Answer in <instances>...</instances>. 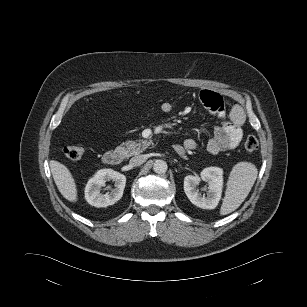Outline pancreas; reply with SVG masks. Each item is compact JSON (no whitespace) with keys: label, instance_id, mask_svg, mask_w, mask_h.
Listing matches in <instances>:
<instances>
[{"label":"pancreas","instance_id":"cf45deb5","mask_svg":"<svg viewBox=\"0 0 307 307\" xmlns=\"http://www.w3.org/2000/svg\"><path fill=\"white\" fill-rule=\"evenodd\" d=\"M151 141L147 140H135V141H126L121 146L117 147V150L121 152L125 157H130L133 155L140 154L143 152L149 145Z\"/></svg>","mask_w":307,"mask_h":307}]
</instances>
